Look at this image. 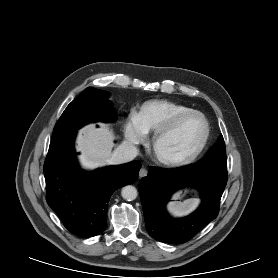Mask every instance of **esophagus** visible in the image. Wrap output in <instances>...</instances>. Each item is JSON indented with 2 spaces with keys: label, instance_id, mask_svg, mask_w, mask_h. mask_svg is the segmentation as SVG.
Wrapping results in <instances>:
<instances>
[{
  "label": "esophagus",
  "instance_id": "obj_1",
  "mask_svg": "<svg viewBox=\"0 0 278 278\" xmlns=\"http://www.w3.org/2000/svg\"><path fill=\"white\" fill-rule=\"evenodd\" d=\"M147 173H148L147 169L141 168L140 171H139V178L146 177Z\"/></svg>",
  "mask_w": 278,
  "mask_h": 278
}]
</instances>
